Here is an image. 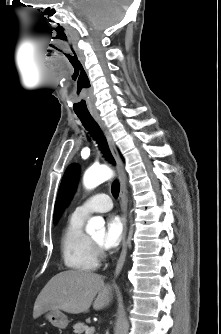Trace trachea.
I'll return each mask as SVG.
<instances>
[{
    "label": "trachea",
    "instance_id": "trachea-1",
    "mask_svg": "<svg viewBox=\"0 0 221 334\" xmlns=\"http://www.w3.org/2000/svg\"><path fill=\"white\" fill-rule=\"evenodd\" d=\"M80 121L82 122L83 126L89 130L92 134V137L97 141L99 144L100 149L104 152L106 158L114 163V159L109 151L108 144L106 141L105 136L103 135L102 130L100 129L99 125L93 119L91 115H77ZM120 191V185L118 182H114L111 187V192L114 197H118Z\"/></svg>",
    "mask_w": 221,
    "mask_h": 334
}]
</instances>
